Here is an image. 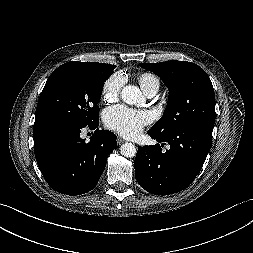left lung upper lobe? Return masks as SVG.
I'll return each mask as SVG.
<instances>
[{
    "mask_svg": "<svg viewBox=\"0 0 253 253\" xmlns=\"http://www.w3.org/2000/svg\"><path fill=\"white\" fill-rule=\"evenodd\" d=\"M139 65L161 77L170 92L164 114L151 131L165 136L182 126L200 122L214 125V90L201 67L184 61Z\"/></svg>",
    "mask_w": 253,
    "mask_h": 253,
    "instance_id": "left-lung-upper-lobe-1",
    "label": "left lung upper lobe"
}]
</instances>
